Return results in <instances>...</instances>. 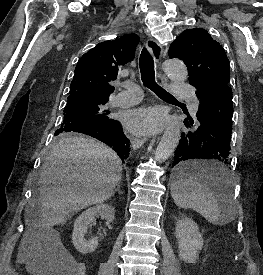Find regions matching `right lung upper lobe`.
<instances>
[{
    "instance_id": "right-lung-upper-lobe-1",
    "label": "right lung upper lobe",
    "mask_w": 263,
    "mask_h": 275,
    "mask_svg": "<svg viewBox=\"0 0 263 275\" xmlns=\"http://www.w3.org/2000/svg\"><path fill=\"white\" fill-rule=\"evenodd\" d=\"M139 37L136 34L121 36L97 44L78 61L70 96L95 95L108 98L114 91L109 82L117 78L118 69L134 59Z\"/></svg>"
}]
</instances>
